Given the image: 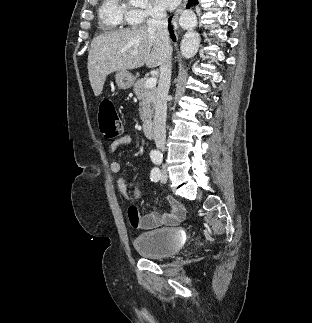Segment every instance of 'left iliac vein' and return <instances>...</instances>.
<instances>
[{"label":"left iliac vein","instance_id":"obj_1","mask_svg":"<svg viewBox=\"0 0 312 323\" xmlns=\"http://www.w3.org/2000/svg\"><path fill=\"white\" fill-rule=\"evenodd\" d=\"M159 180L161 182H166L167 181V170H166V166L165 165L162 167V172L160 174Z\"/></svg>","mask_w":312,"mask_h":323}]
</instances>
